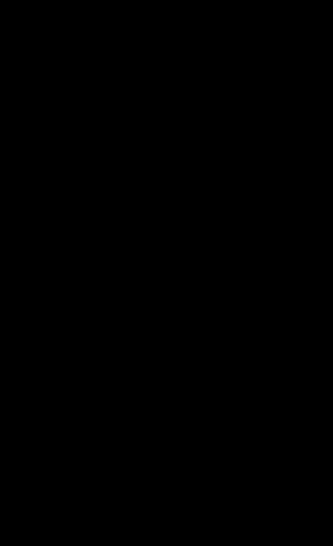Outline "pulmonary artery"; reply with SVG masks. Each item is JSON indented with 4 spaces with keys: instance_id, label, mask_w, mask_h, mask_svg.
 Masks as SVG:
<instances>
[{
    "instance_id": "obj_1",
    "label": "pulmonary artery",
    "mask_w": 333,
    "mask_h": 546,
    "mask_svg": "<svg viewBox=\"0 0 333 546\" xmlns=\"http://www.w3.org/2000/svg\"><path fill=\"white\" fill-rule=\"evenodd\" d=\"M79 14H88V13H86V12H82V13H79Z\"/></svg>"
}]
</instances>
